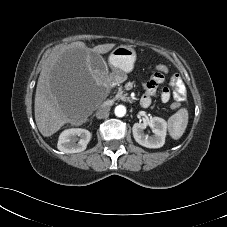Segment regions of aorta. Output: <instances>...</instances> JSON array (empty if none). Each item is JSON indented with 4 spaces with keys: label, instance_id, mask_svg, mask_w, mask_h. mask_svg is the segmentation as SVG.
I'll return each instance as SVG.
<instances>
[{
    "label": "aorta",
    "instance_id": "762f6f07",
    "mask_svg": "<svg viewBox=\"0 0 227 227\" xmlns=\"http://www.w3.org/2000/svg\"><path fill=\"white\" fill-rule=\"evenodd\" d=\"M114 112L117 117H123L126 114V107L124 105H118L115 107Z\"/></svg>",
    "mask_w": 227,
    "mask_h": 227
}]
</instances>
